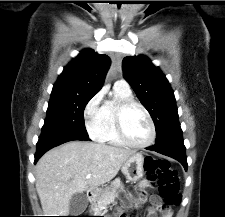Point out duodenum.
Masks as SVG:
<instances>
[{"instance_id": "1", "label": "duodenum", "mask_w": 225, "mask_h": 217, "mask_svg": "<svg viewBox=\"0 0 225 217\" xmlns=\"http://www.w3.org/2000/svg\"><path fill=\"white\" fill-rule=\"evenodd\" d=\"M87 198L89 201H93L95 199V191L94 190H89L87 192Z\"/></svg>"}]
</instances>
